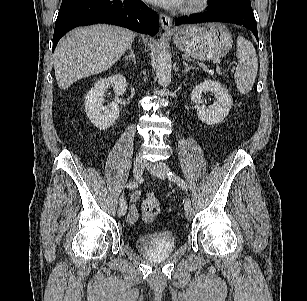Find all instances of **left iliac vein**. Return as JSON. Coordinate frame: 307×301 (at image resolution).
<instances>
[{
	"label": "left iliac vein",
	"instance_id": "4c4485c4",
	"mask_svg": "<svg viewBox=\"0 0 307 301\" xmlns=\"http://www.w3.org/2000/svg\"><path fill=\"white\" fill-rule=\"evenodd\" d=\"M147 169L158 178H165L169 166L164 162L148 163ZM194 216V210L191 206L185 209V217L191 220Z\"/></svg>",
	"mask_w": 307,
	"mask_h": 301
}]
</instances>
